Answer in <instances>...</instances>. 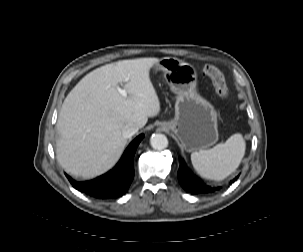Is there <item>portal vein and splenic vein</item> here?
Instances as JSON below:
<instances>
[{
    "mask_svg": "<svg viewBox=\"0 0 303 252\" xmlns=\"http://www.w3.org/2000/svg\"><path fill=\"white\" fill-rule=\"evenodd\" d=\"M117 89H118L119 93H120L122 96H124V97L127 96V93H126L125 90L121 89L119 86L117 87Z\"/></svg>",
    "mask_w": 303,
    "mask_h": 252,
    "instance_id": "obj_1",
    "label": "portal vein and splenic vein"
}]
</instances>
